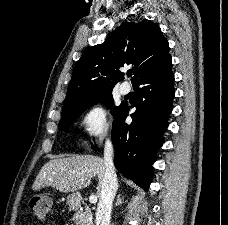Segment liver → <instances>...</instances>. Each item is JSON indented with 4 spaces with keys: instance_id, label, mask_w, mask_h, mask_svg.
I'll list each match as a JSON object with an SVG mask.
<instances>
[{
    "instance_id": "1",
    "label": "liver",
    "mask_w": 228,
    "mask_h": 225,
    "mask_svg": "<svg viewBox=\"0 0 228 225\" xmlns=\"http://www.w3.org/2000/svg\"><path fill=\"white\" fill-rule=\"evenodd\" d=\"M105 173V161L93 155H72L66 159H53L42 167L33 183V191L44 187H53L60 193H75L92 183V177H98L97 195H100V183ZM84 179V181H80Z\"/></svg>"
}]
</instances>
